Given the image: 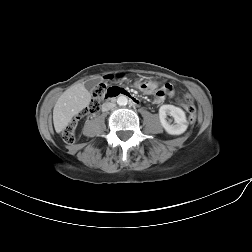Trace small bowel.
<instances>
[{"label":"small bowel","instance_id":"obj_1","mask_svg":"<svg viewBox=\"0 0 252 252\" xmlns=\"http://www.w3.org/2000/svg\"><path fill=\"white\" fill-rule=\"evenodd\" d=\"M135 86L146 93H151L156 90V103H161L166 96H172L174 94L173 86L169 82L153 81L149 82V87H143L141 82H137Z\"/></svg>","mask_w":252,"mask_h":252}]
</instances>
